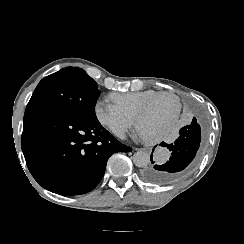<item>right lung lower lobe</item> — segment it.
Segmentation results:
<instances>
[{"instance_id": "right-lung-lower-lobe-1", "label": "right lung lower lobe", "mask_w": 244, "mask_h": 244, "mask_svg": "<svg viewBox=\"0 0 244 244\" xmlns=\"http://www.w3.org/2000/svg\"><path fill=\"white\" fill-rule=\"evenodd\" d=\"M21 146L35 180L45 189L67 196L94 189L109 157L132 150L97 119L49 107L26 108Z\"/></svg>"}]
</instances>
